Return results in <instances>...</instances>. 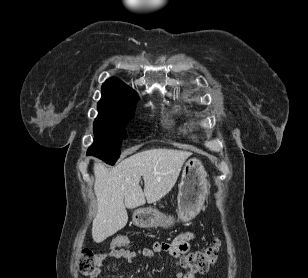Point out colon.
<instances>
[{"label": "colon", "instance_id": "colon-1", "mask_svg": "<svg viewBox=\"0 0 308 278\" xmlns=\"http://www.w3.org/2000/svg\"><path fill=\"white\" fill-rule=\"evenodd\" d=\"M128 244L129 240L126 236H117L113 239V242L109 244V249L117 250L118 247H125ZM219 247L220 242L216 239L211 246L203 250L182 255L179 260V265L186 272L205 273L217 262ZM100 267V254L93 252L87 247L83 248L80 259L81 273L88 278H94Z\"/></svg>", "mask_w": 308, "mask_h": 278}]
</instances>
